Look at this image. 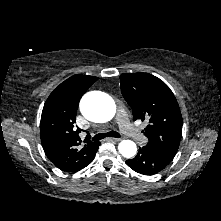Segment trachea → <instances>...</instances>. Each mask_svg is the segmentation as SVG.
Returning a JSON list of instances; mask_svg holds the SVG:
<instances>
[{
	"instance_id": "trachea-1",
	"label": "trachea",
	"mask_w": 221,
	"mask_h": 221,
	"mask_svg": "<svg viewBox=\"0 0 221 221\" xmlns=\"http://www.w3.org/2000/svg\"><path fill=\"white\" fill-rule=\"evenodd\" d=\"M105 137H116V138H119L120 137V134L118 132H115V131H110V132H107V133H99L97 135H95L92 140L93 141H99Z\"/></svg>"
}]
</instances>
